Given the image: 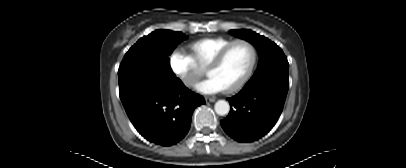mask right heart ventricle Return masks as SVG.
<instances>
[{"label": "right heart ventricle", "instance_id": "e07e8e85", "mask_svg": "<svg viewBox=\"0 0 406 168\" xmlns=\"http://www.w3.org/2000/svg\"><path fill=\"white\" fill-rule=\"evenodd\" d=\"M232 41L233 39L227 37H207L191 42L188 49L193 60L206 67L214 55Z\"/></svg>", "mask_w": 406, "mask_h": 168}]
</instances>
